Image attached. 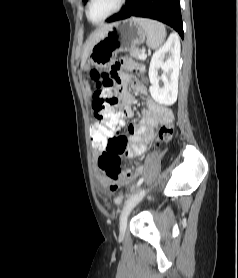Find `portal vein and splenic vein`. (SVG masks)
<instances>
[{
  "label": "portal vein and splenic vein",
  "mask_w": 238,
  "mask_h": 278,
  "mask_svg": "<svg viewBox=\"0 0 238 278\" xmlns=\"http://www.w3.org/2000/svg\"><path fill=\"white\" fill-rule=\"evenodd\" d=\"M146 54H145V50H143V52H142V54H141V56H140V59H142V60H144V59H146Z\"/></svg>",
  "instance_id": "obj_1"
}]
</instances>
